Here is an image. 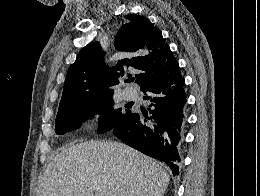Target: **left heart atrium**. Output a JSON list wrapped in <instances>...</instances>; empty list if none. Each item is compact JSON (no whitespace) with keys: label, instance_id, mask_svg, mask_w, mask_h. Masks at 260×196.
Instances as JSON below:
<instances>
[{"label":"left heart atrium","instance_id":"39dd6f15","mask_svg":"<svg viewBox=\"0 0 260 196\" xmlns=\"http://www.w3.org/2000/svg\"><path fill=\"white\" fill-rule=\"evenodd\" d=\"M112 192H119V190H113Z\"/></svg>","mask_w":260,"mask_h":196}]
</instances>
